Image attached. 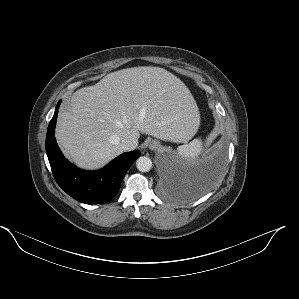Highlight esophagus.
Listing matches in <instances>:
<instances>
[{
  "label": "esophagus",
  "instance_id": "obj_1",
  "mask_svg": "<svg viewBox=\"0 0 299 299\" xmlns=\"http://www.w3.org/2000/svg\"><path fill=\"white\" fill-rule=\"evenodd\" d=\"M159 143L157 142V141H151L150 143H149V149L150 150H156V149H158L159 148Z\"/></svg>",
  "mask_w": 299,
  "mask_h": 299
}]
</instances>
